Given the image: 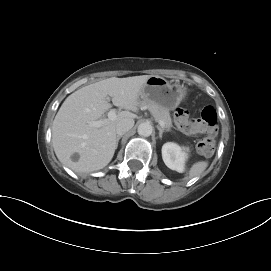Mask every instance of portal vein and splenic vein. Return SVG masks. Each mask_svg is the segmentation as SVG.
Returning a JSON list of instances; mask_svg holds the SVG:
<instances>
[{
  "mask_svg": "<svg viewBox=\"0 0 271 271\" xmlns=\"http://www.w3.org/2000/svg\"><path fill=\"white\" fill-rule=\"evenodd\" d=\"M108 118L106 119H100V120H97V121H91L89 122V125L90 126H94V127H101L103 126L104 124H107L111 121H114L116 120L117 118V114H116V111L114 109H111L109 112H108ZM159 122V125L162 127V128H165V123L163 121H158Z\"/></svg>",
  "mask_w": 271,
  "mask_h": 271,
  "instance_id": "obj_1",
  "label": "portal vein and splenic vein"
}]
</instances>
